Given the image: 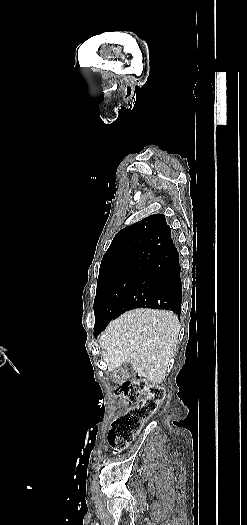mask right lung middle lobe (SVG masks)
<instances>
[{
    "instance_id": "right-lung-middle-lobe-1",
    "label": "right lung middle lobe",
    "mask_w": 247,
    "mask_h": 525,
    "mask_svg": "<svg viewBox=\"0 0 247 525\" xmlns=\"http://www.w3.org/2000/svg\"><path fill=\"white\" fill-rule=\"evenodd\" d=\"M152 260L153 256H147L132 267L99 272L93 306L95 326H107L113 318L118 316L117 309L121 302Z\"/></svg>"
}]
</instances>
